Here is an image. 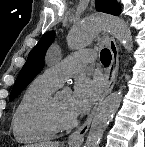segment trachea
<instances>
[{"instance_id":"3493384b","label":"trachea","mask_w":145,"mask_h":147,"mask_svg":"<svg viewBox=\"0 0 145 147\" xmlns=\"http://www.w3.org/2000/svg\"><path fill=\"white\" fill-rule=\"evenodd\" d=\"M111 52L108 49H103L101 51V62L104 66H108L111 62Z\"/></svg>"}]
</instances>
